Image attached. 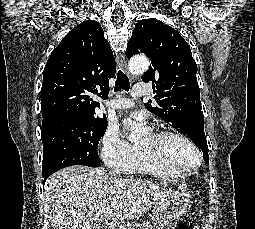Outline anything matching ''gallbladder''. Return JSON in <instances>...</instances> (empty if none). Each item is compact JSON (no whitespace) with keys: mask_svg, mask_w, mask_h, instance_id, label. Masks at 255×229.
<instances>
[{"mask_svg":"<svg viewBox=\"0 0 255 229\" xmlns=\"http://www.w3.org/2000/svg\"><path fill=\"white\" fill-rule=\"evenodd\" d=\"M95 229H101V226H100V225H98Z\"/></svg>","mask_w":255,"mask_h":229,"instance_id":"1","label":"gallbladder"}]
</instances>
